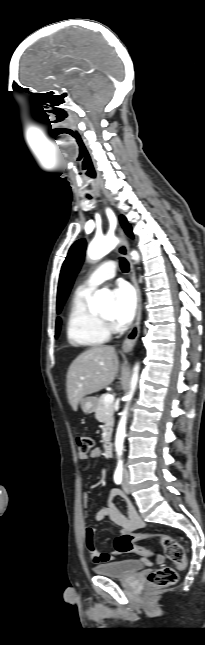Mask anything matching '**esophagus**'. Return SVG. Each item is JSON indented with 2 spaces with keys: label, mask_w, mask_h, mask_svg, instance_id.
Here are the masks:
<instances>
[{
  "label": "esophagus",
  "mask_w": 205,
  "mask_h": 645,
  "mask_svg": "<svg viewBox=\"0 0 205 645\" xmlns=\"http://www.w3.org/2000/svg\"><path fill=\"white\" fill-rule=\"evenodd\" d=\"M104 203H106V200H103ZM118 235L120 237L121 243L119 245V253L123 256H125L128 261H129V274H130V279L135 287L136 290V295H137V311H136V318L134 325L132 326L131 330L128 332L123 345H122V350L124 352H129L134 344L136 343L139 334H140V321H141V291L140 287L138 285L137 279H136V274H135V269L133 262L130 257V252H129V245L126 240V237L121 229H118Z\"/></svg>",
  "instance_id": "esophagus-1"
}]
</instances>
